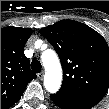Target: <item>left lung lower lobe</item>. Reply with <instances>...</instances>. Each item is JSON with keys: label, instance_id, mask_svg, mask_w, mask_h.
Listing matches in <instances>:
<instances>
[{"label": "left lung lower lobe", "instance_id": "left-lung-lower-lobe-1", "mask_svg": "<svg viewBox=\"0 0 109 109\" xmlns=\"http://www.w3.org/2000/svg\"><path fill=\"white\" fill-rule=\"evenodd\" d=\"M50 98L61 109H89L95 106L88 100L60 90L56 94L50 95Z\"/></svg>", "mask_w": 109, "mask_h": 109}]
</instances>
